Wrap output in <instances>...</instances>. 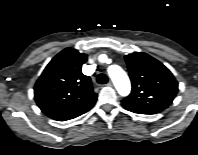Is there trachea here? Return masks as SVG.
Masks as SVG:
<instances>
[{
    "mask_svg": "<svg viewBox=\"0 0 198 155\" xmlns=\"http://www.w3.org/2000/svg\"><path fill=\"white\" fill-rule=\"evenodd\" d=\"M97 82L99 84H106L108 82V77L105 74H99L97 76Z\"/></svg>",
    "mask_w": 198,
    "mask_h": 155,
    "instance_id": "obj_1",
    "label": "trachea"
}]
</instances>
